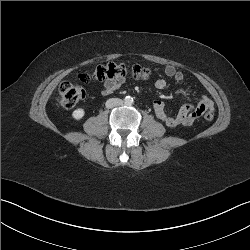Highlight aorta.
<instances>
[{
    "instance_id": "obj_1",
    "label": "aorta",
    "mask_w": 250,
    "mask_h": 250,
    "mask_svg": "<svg viewBox=\"0 0 250 250\" xmlns=\"http://www.w3.org/2000/svg\"><path fill=\"white\" fill-rule=\"evenodd\" d=\"M133 102H134V100H133V97H131V96H126L124 98V104L127 105V106L132 105Z\"/></svg>"
}]
</instances>
